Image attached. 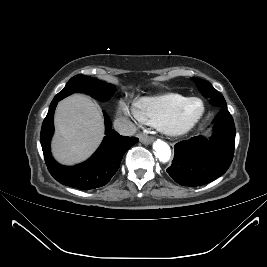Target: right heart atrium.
Wrapping results in <instances>:
<instances>
[{"instance_id":"d8ad5b80","label":"right heart atrium","mask_w":267,"mask_h":267,"mask_svg":"<svg viewBox=\"0 0 267 267\" xmlns=\"http://www.w3.org/2000/svg\"><path fill=\"white\" fill-rule=\"evenodd\" d=\"M118 113L132 121H141L134 105L127 104L124 100L118 103Z\"/></svg>"}]
</instances>
